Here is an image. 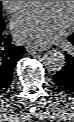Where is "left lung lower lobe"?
<instances>
[{"mask_svg": "<svg viewBox=\"0 0 74 122\" xmlns=\"http://www.w3.org/2000/svg\"><path fill=\"white\" fill-rule=\"evenodd\" d=\"M68 40L74 45V34ZM53 79L59 90L74 93V54L66 55L65 66L53 75Z\"/></svg>", "mask_w": 74, "mask_h": 122, "instance_id": "1", "label": "left lung lower lobe"}]
</instances>
